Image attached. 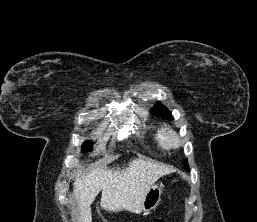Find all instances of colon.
I'll return each mask as SVG.
<instances>
[{
	"label": "colon",
	"instance_id": "5ec220e1",
	"mask_svg": "<svg viewBox=\"0 0 257 222\" xmlns=\"http://www.w3.org/2000/svg\"><path fill=\"white\" fill-rule=\"evenodd\" d=\"M155 222H165V220H163V219H157V220H155Z\"/></svg>",
	"mask_w": 257,
	"mask_h": 222
}]
</instances>
